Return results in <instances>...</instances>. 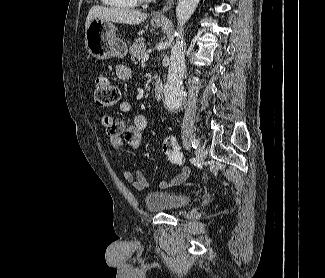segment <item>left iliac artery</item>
<instances>
[{"label":"left iliac artery","instance_id":"44dca946","mask_svg":"<svg viewBox=\"0 0 325 278\" xmlns=\"http://www.w3.org/2000/svg\"><path fill=\"white\" fill-rule=\"evenodd\" d=\"M198 145H199V141L196 140V139H194V140L192 141V147L196 149Z\"/></svg>","mask_w":325,"mask_h":278}]
</instances>
